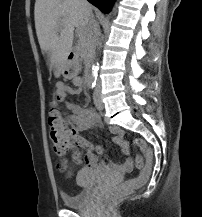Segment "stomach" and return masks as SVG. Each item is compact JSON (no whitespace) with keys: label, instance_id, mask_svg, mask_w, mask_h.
I'll return each instance as SVG.
<instances>
[{"label":"stomach","instance_id":"1","mask_svg":"<svg viewBox=\"0 0 202 217\" xmlns=\"http://www.w3.org/2000/svg\"><path fill=\"white\" fill-rule=\"evenodd\" d=\"M78 64L73 61H66L62 68V74L65 78H73L78 74Z\"/></svg>","mask_w":202,"mask_h":217}]
</instances>
